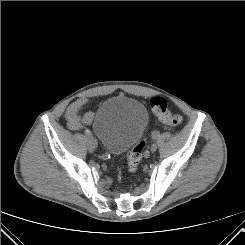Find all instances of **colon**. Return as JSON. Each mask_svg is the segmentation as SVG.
<instances>
[{"instance_id":"obj_1","label":"colon","mask_w":245,"mask_h":245,"mask_svg":"<svg viewBox=\"0 0 245 245\" xmlns=\"http://www.w3.org/2000/svg\"><path fill=\"white\" fill-rule=\"evenodd\" d=\"M150 105L153 112L164 123L170 126H177L182 123V116L177 113H172L168 110L167 101L163 97L156 96L150 100ZM145 143L143 141L138 142L128 153L127 157V169L128 172L134 173L139 163L141 162Z\"/></svg>"}]
</instances>
